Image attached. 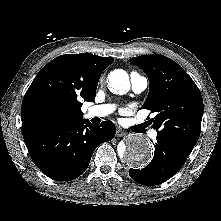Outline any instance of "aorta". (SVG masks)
<instances>
[{"label":"aorta","mask_w":221,"mask_h":221,"mask_svg":"<svg viewBox=\"0 0 221 221\" xmlns=\"http://www.w3.org/2000/svg\"><path fill=\"white\" fill-rule=\"evenodd\" d=\"M107 83L109 90L114 94L123 95L130 89L129 75L123 69L110 72ZM118 154L128 165L142 167L151 160L152 150L146 137L135 134L119 143Z\"/></svg>","instance_id":"aorta-1"}]
</instances>
